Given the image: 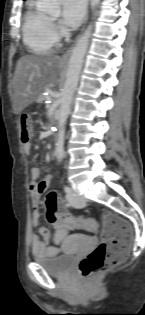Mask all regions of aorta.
<instances>
[{"label":"aorta","mask_w":145,"mask_h":315,"mask_svg":"<svg viewBox=\"0 0 145 315\" xmlns=\"http://www.w3.org/2000/svg\"><path fill=\"white\" fill-rule=\"evenodd\" d=\"M100 0H91L92 11L98 6ZM42 10L50 14H58L60 12L59 0H42ZM93 25L90 23L85 32L75 44L70 56L66 80L61 93L60 108L58 116V134L56 140L55 152L58 161L61 162L64 157V139L65 125L70 113L71 103L74 92L76 90L79 75L82 69L84 57L88 48L89 40L92 34Z\"/></svg>","instance_id":"762f6f07"}]
</instances>
